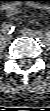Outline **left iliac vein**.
Listing matches in <instances>:
<instances>
[{
  "label": "left iliac vein",
  "instance_id": "left-iliac-vein-1",
  "mask_svg": "<svg viewBox=\"0 0 50 111\" xmlns=\"http://www.w3.org/2000/svg\"><path fill=\"white\" fill-rule=\"evenodd\" d=\"M22 34L26 35V36L34 37V38L37 37L36 33L34 31H32L31 29H28V28L23 29Z\"/></svg>",
  "mask_w": 50,
  "mask_h": 111
}]
</instances>
